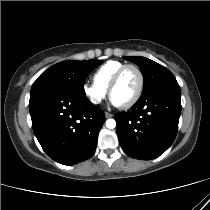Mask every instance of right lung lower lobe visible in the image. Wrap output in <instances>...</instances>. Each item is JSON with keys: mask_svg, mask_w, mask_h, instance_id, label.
I'll use <instances>...</instances> for the list:
<instances>
[{"mask_svg": "<svg viewBox=\"0 0 210 210\" xmlns=\"http://www.w3.org/2000/svg\"><path fill=\"white\" fill-rule=\"evenodd\" d=\"M29 109L33 131L53 160L74 165L94 154L105 116L86 96L43 90L30 94Z\"/></svg>", "mask_w": 210, "mask_h": 210, "instance_id": "98d812e1", "label": "right lung lower lobe"}]
</instances>
